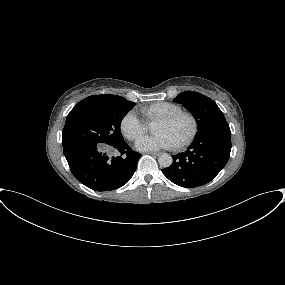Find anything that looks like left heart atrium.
<instances>
[{
    "mask_svg": "<svg viewBox=\"0 0 285 285\" xmlns=\"http://www.w3.org/2000/svg\"><path fill=\"white\" fill-rule=\"evenodd\" d=\"M135 146L140 151H153L171 148L174 144L165 133L160 132L140 137Z\"/></svg>",
    "mask_w": 285,
    "mask_h": 285,
    "instance_id": "left-heart-atrium-1",
    "label": "left heart atrium"
}]
</instances>
